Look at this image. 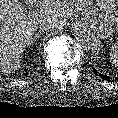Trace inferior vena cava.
Listing matches in <instances>:
<instances>
[{
	"instance_id": "inferior-vena-cava-1",
	"label": "inferior vena cava",
	"mask_w": 118,
	"mask_h": 118,
	"mask_svg": "<svg viewBox=\"0 0 118 118\" xmlns=\"http://www.w3.org/2000/svg\"><path fill=\"white\" fill-rule=\"evenodd\" d=\"M60 25L53 19L45 17L38 21L39 32L47 33L57 29Z\"/></svg>"
}]
</instances>
